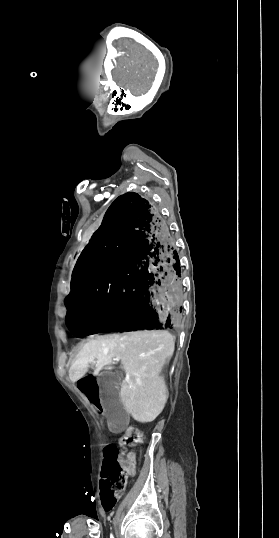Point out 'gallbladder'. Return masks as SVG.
Here are the masks:
<instances>
[{
	"label": "gallbladder",
	"mask_w": 279,
	"mask_h": 538,
	"mask_svg": "<svg viewBox=\"0 0 279 538\" xmlns=\"http://www.w3.org/2000/svg\"><path fill=\"white\" fill-rule=\"evenodd\" d=\"M122 374L120 372H102L97 378L98 386L103 394L101 401L106 405L105 415L109 423H112L115 431L125 428L131 415L120 404V386Z\"/></svg>",
	"instance_id": "1"
}]
</instances>
